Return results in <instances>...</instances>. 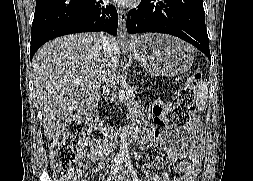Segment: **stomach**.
<instances>
[{"label": "stomach", "mask_w": 253, "mask_h": 181, "mask_svg": "<svg viewBox=\"0 0 253 181\" xmlns=\"http://www.w3.org/2000/svg\"><path fill=\"white\" fill-rule=\"evenodd\" d=\"M125 47L146 72L153 76H173L188 71L194 61L190 46L179 38L146 33L132 38Z\"/></svg>", "instance_id": "0dacf381"}]
</instances>
